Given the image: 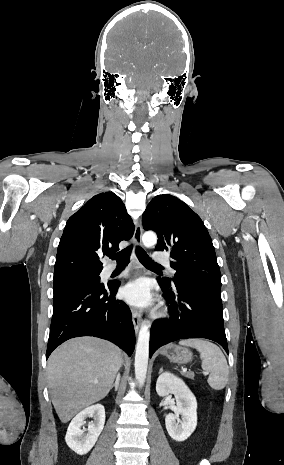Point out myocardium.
<instances>
[{"mask_svg": "<svg viewBox=\"0 0 284 465\" xmlns=\"http://www.w3.org/2000/svg\"><path fill=\"white\" fill-rule=\"evenodd\" d=\"M164 314H165L164 311H161V312L159 313L160 316H162V315H164Z\"/></svg>", "mask_w": 284, "mask_h": 465, "instance_id": "myocardium-1", "label": "myocardium"}]
</instances>
